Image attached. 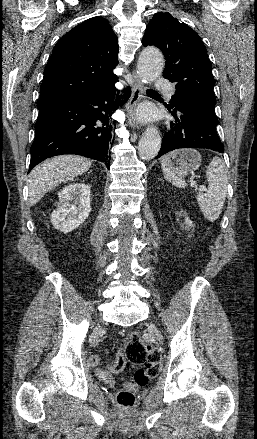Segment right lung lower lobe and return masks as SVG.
<instances>
[{
  "mask_svg": "<svg viewBox=\"0 0 257 439\" xmlns=\"http://www.w3.org/2000/svg\"><path fill=\"white\" fill-rule=\"evenodd\" d=\"M113 79L103 87L72 96L39 109L35 139L31 146L29 171L48 157L77 154L104 162L110 169L109 147L114 134L110 116L131 95L124 88L119 95ZM123 98L122 101H118Z\"/></svg>",
  "mask_w": 257,
  "mask_h": 439,
  "instance_id": "right-lung-lower-lobe-1",
  "label": "right lung lower lobe"
}]
</instances>
